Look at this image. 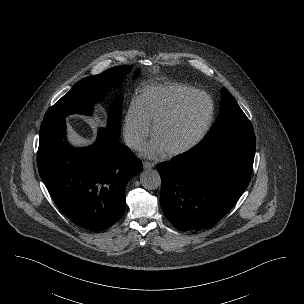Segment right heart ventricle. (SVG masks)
<instances>
[{
    "label": "right heart ventricle",
    "instance_id": "obj_1",
    "mask_svg": "<svg viewBox=\"0 0 304 304\" xmlns=\"http://www.w3.org/2000/svg\"><path fill=\"white\" fill-rule=\"evenodd\" d=\"M197 91L177 82L149 86L143 90L137 103L150 125L185 96Z\"/></svg>",
    "mask_w": 304,
    "mask_h": 304
}]
</instances>
